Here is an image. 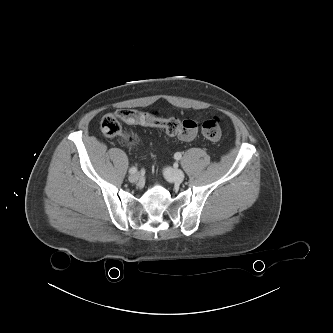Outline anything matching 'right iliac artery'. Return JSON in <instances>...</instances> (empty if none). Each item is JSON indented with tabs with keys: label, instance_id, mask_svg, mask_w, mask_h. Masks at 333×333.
I'll return each mask as SVG.
<instances>
[{
	"label": "right iliac artery",
	"instance_id": "obj_1",
	"mask_svg": "<svg viewBox=\"0 0 333 333\" xmlns=\"http://www.w3.org/2000/svg\"><path fill=\"white\" fill-rule=\"evenodd\" d=\"M137 172V168L136 167H131L130 169H129V173H131V174H134V173H136Z\"/></svg>",
	"mask_w": 333,
	"mask_h": 333
}]
</instances>
